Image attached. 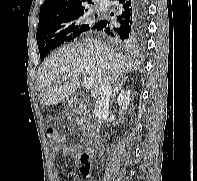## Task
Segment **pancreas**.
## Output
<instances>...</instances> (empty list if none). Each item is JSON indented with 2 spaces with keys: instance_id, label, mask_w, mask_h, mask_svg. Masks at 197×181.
<instances>
[{
  "instance_id": "cf45deb5",
  "label": "pancreas",
  "mask_w": 197,
  "mask_h": 181,
  "mask_svg": "<svg viewBox=\"0 0 197 181\" xmlns=\"http://www.w3.org/2000/svg\"><path fill=\"white\" fill-rule=\"evenodd\" d=\"M77 121V124L80 126V129L85 132L86 130H88V125H87V121H86V118L81 116V117H78L76 119Z\"/></svg>"
}]
</instances>
